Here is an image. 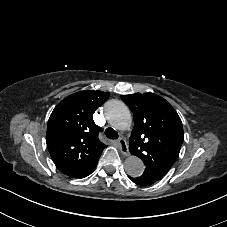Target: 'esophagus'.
I'll list each match as a JSON object with an SVG mask.
<instances>
[{"label": "esophagus", "instance_id": "obj_1", "mask_svg": "<svg viewBox=\"0 0 227 227\" xmlns=\"http://www.w3.org/2000/svg\"><path fill=\"white\" fill-rule=\"evenodd\" d=\"M118 144H119L121 153L125 156H129L130 155L129 148L125 139L123 138L119 139Z\"/></svg>", "mask_w": 227, "mask_h": 227}]
</instances>
